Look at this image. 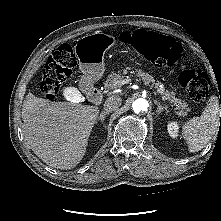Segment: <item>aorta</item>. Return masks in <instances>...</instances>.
Wrapping results in <instances>:
<instances>
[{
	"label": "aorta",
	"mask_w": 221,
	"mask_h": 221,
	"mask_svg": "<svg viewBox=\"0 0 221 221\" xmlns=\"http://www.w3.org/2000/svg\"><path fill=\"white\" fill-rule=\"evenodd\" d=\"M148 106H149L148 101L143 98L136 99L132 104L133 111L135 113L146 111Z\"/></svg>",
	"instance_id": "762f6f07"
}]
</instances>
